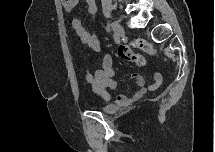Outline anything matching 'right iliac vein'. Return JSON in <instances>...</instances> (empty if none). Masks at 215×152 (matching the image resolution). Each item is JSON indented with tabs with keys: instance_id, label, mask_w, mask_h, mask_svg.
I'll return each mask as SVG.
<instances>
[{
	"instance_id": "63e3f726",
	"label": "right iliac vein",
	"mask_w": 215,
	"mask_h": 152,
	"mask_svg": "<svg viewBox=\"0 0 215 152\" xmlns=\"http://www.w3.org/2000/svg\"><path fill=\"white\" fill-rule=\"evenodd\" d=\"M109 26L112 28V30L118 37H124L125 31L118 22L111 21L109 22Z\"/></svg>"
}]
</instances>
